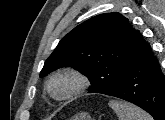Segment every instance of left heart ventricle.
<instances>
[{"instance_id":"b2bd125f","label":"left heart ventricle","mask_w":165,"mask_h":120,"mask_svg":"<svg viewBox=\"0 0 165 120\" xmlns=\"http://www.w3.org/2000/svg\"><path fill=\"white\" fill-rule=\"evenodd\" d=\"M70 87V83L66 79H60L54 83L53 89L56 94L60 95L65 93Z\"/></svg>"}]
</instances>
